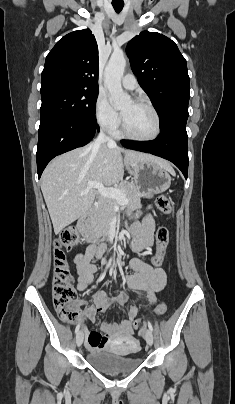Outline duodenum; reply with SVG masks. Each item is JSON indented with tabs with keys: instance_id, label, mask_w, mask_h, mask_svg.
<instances>
[{
	"instance_id": "1",
	"label": "duodenum",
	"mask_w": 235,
	"mask_h": 404,
	"mask_svg": "<svg viewBox=\"0 0 235 404\" xmlns=\"http://www.w3.org/2000/svg\"><path fill=\"white\" fill-rule=\"evenodd\" d=\"M91 222H92V214L87 213L78 220V228L84 237L95 242L96 239L94 238L92 233Z\"/></svg>"
}]
</instances>
